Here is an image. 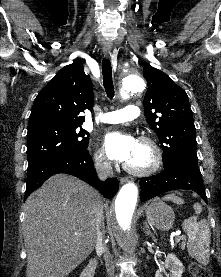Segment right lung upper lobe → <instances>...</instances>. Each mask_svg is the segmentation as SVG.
I'll return each instance as SVG.
<instances>
[{
    "mask_svg": "<svg viewBox=\"0 0 221 277\" xmlns=\"http://www.w3.org/2000/svg\"><path fill=\"white\" fill-rule=\"evenodd\" d=\"M93 87L79 61L63 67L37 95L28 126L44 124H79L80 113L93 109Z\"/></svg>",
    "mask_w": 221,
    "mask_h": 277,
    "instance_id": "obj_1",
    "label": "right lung upper lobe"
}]
</instances>
